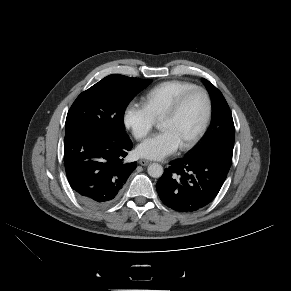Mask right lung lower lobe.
I'll return each mask as SVG.
<instances>
[{"label":"right lung lower lobe","instance_id":"right-lung-lower-lobe-1","mask_svg":"<svg viewBox=\"0 0 291 291\" xmlns=\"http://www.w3.org/2000/svg\"><path fill=\"white\" fill-rule=\"evenodd\" d=\"M133 144L125 132L74 131L65 134L64 163L69 184L88 207L113 203L136 163L123 162Z\"/></svg>","mask_w":291,"mask_h":291}]
</instances>
